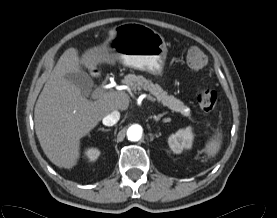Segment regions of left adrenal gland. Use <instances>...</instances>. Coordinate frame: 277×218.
Segmentation results:
<instances>
[{
	"mask_svg": "<svg viewBox=\"0 0 277 218\" xmlns=\"http://www.w3.org/2000/svg\"><path fill=\"white\" fill-rule=\"evenodd\" d=\"M166 114V112H164V113H161V114H159L158 116H156V115H154V120L156 121V122H158L160 119H161V117H163L164 115ZM168 120L167 119H164L163 120V122H167Z\"/></svg>",
	"mask_w": 277,
	"mask_h": 218,
	"instance_id": "1",
	"label": "left adrenal gland"
}]
</instances>
